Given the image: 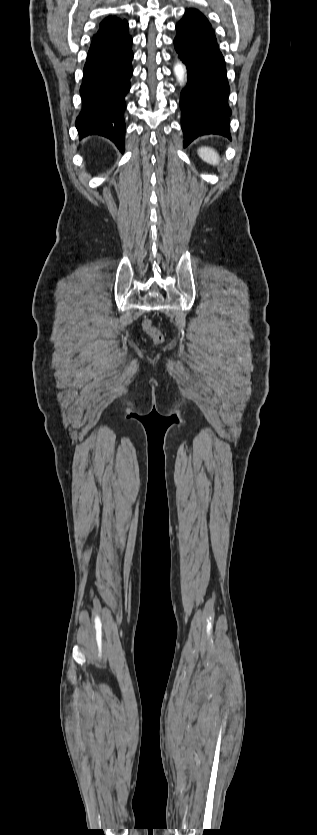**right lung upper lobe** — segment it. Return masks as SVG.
<instances>
[{"label":"right lung upper lobe","instance_id":"obj_1","mask_svg":"<svg viewBox=\"0 0 317 835\" xmlns=\"http://www.w3.org/2000/svg\"><path fill=\"white\" fill-rule=\"evenodd\" d=\"M99 32L109 40L116 41L128 35V23L109 16L100 23Z\"/></svg>","mask_w":317,"mask_h":835}]
</instances>
